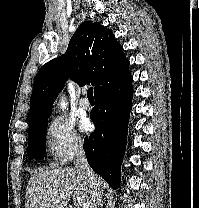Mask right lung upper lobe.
Returning a JSON list of instances; mask_svg holds the SVG:
<instances>
[{
	"instance_id": "cb5924a9",
	"label": "right lung upper lobe",
	"mask_w": 199,
	"mask_h": 208,
	"mask_svg": "<svg viewBox=\"0 0 199 208\" xmlns=\"http://www.w3.org/2000/svg\"><path fill=\"white\" fill-rule=\"evenodd\" d=\"M130 74L129 61L112 32L99 23L83 22L72 36L65 55L44 64L34 79L28 114L29 130L48 121L53 102L68 77L94 94Z\"/></svg>"
}]
</instances>
